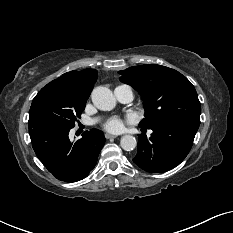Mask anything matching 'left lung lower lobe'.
I'll return each instance as SVG.
<instances>
[{
  "label": "left lung lower lobe",
  "mask_w": 233,
  "mask_h": 233,
  "mask_svg": "<svg viewBox=\"0 0 233 233\" xmlns=\"http://www.w3.org/2000/svg\"><path fill=\"white\" fill-rule=\"evenodd\" d=\"M199 124L188 121L159 122L149 129V139L139 135L133 161L147 172H165L180 164L189 153Z\"/></svg>",
  "instance_id": "obj_1"
}]
</instances>
